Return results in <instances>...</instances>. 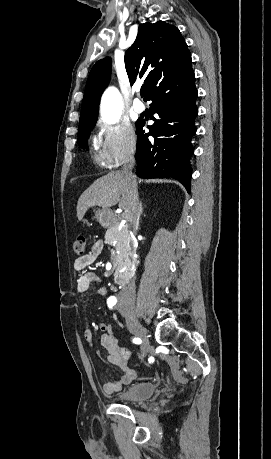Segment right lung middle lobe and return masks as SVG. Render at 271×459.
I'll use <instances>...</instances> for the list:
<instances>
[{
  "mask_svg": "<svg viewBox=\"0 0 271 459\" xmlns=\"http://www.w3.org/2000/svg\"><path fill=\"white\" fill-rule=\"evenodd\" d=\"M97 119L80 121L77 143L81 148H87V140L91 130L94 128Z\"/></svg>",
  "mask_w": 271,
  "mask_h": 459,
  "instance_id": "dd1d6c3e",
  "label": "right lung middle lobe"
}]
</instances>
